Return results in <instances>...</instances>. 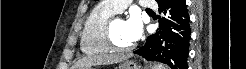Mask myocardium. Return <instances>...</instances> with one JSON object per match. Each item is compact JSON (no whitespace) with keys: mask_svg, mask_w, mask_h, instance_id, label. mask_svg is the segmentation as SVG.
<instances>
[{"mask_svg":"<svg viewBox=\"0 0 246 69\" xmlns=\"http://www.w3.org/2000/svg\"><path fill=\"white\" fill-rule=\"evenodd\" d=\"M117 19H111L108 23L107 29H106V41L108 45L110 46L111 49L115 50H129L133 49L135 47V44L130 45V46H120L118 45L112 37V29H113V24Z\"/></svg>","mask_w":246,"mask_h":69,"instance_id":"1","label":"myocardium"}]
</instances>
